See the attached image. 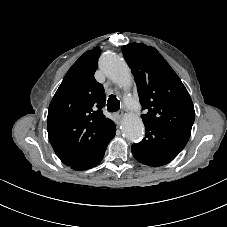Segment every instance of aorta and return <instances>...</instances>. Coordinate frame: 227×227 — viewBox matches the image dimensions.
<instances>
[{
    "label": "aorta",
    "mask_w": 227,
    "mask_h": 227,
    "mask_svg": "<svg viewBox=\"0 0 227 227\" xmlns=\"http://www.w3.org/2000/svg\"><path fill=\"white\" fill-rule=\"evenodd\" d=\"M102 72L113 81L127 85L131 81V73L128 65L119 55L106 52L99 60ZM142 119L134 114L126 115L122 120V133L130 141H137L144 135Z\"/></svg>",
    "instance_id": "762f6f07"
}]
</instances>
